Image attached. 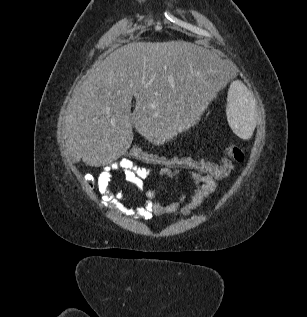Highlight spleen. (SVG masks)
Returning <instances> with one entry per match:
<instances>
[{"mask_svg":"<svg viewBox=\"0 0 307 317\" xmlns=\"http://www.w3.org/2000/svg\"><path fill=\"white\" fill-rule=\"evenodd\" d=\"M227 119L233 132L242 139L251 138L257 120L251 93L239 82H233L227 97Z\"/></svg>","mask_w":307,"mask_h":317,"instance_id":"spleen-1","label":"spleen"}]
</instances>
